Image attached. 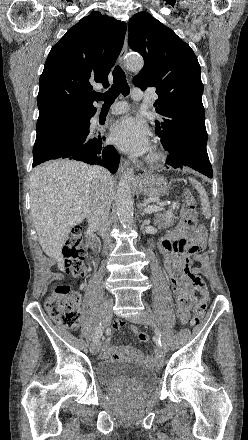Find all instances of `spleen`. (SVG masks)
<instances>
[{"label": "spleen", "mask_w": 248, "mask_h": 440, "mask_svg": "<svg viewBox=\"0 0 248 440\" xmlns=\"http://www.w3.org/2000/svg\"><path fill=\"white\" fill-rule=\"evenodd\" d=\"M189 180L194 185L195 189L198 191L200 195L202 213L204 217L206 219H209L211 217V209H210V202L205 189L196 179L190 177Z\"/></svg>", "instance_id": "spleen-1"}]
</instances>
